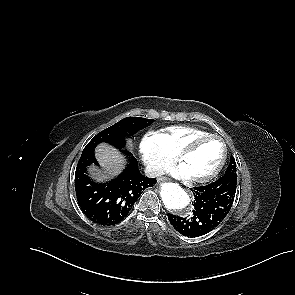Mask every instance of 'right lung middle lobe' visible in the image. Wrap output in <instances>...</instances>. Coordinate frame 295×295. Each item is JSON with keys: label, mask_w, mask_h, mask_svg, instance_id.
<instances>
[{"label": "right lung middle lobe", "mask_w": 295, "mask_h": 295, "mask_svg": "<svg viewBox=\"0 0 295 295\" xmlns=\"http://www.w3.org/2000/svg\"><path fill=\"white\" fill-rule=\"evenodd\" d=\"M153 119H146L140 117H127L113 126L101 131L84 148L81 158L94 153V148L101 142H107L116 148H123L126 144V137L133 136L137 131L144 129L151 125Z\"/></svg>", "instance_id": "1"}]
</instances>
